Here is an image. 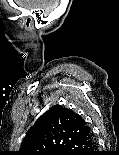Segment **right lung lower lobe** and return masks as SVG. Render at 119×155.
I'll use <instances>...</instances> for the list:
<instances>
[{
	"label": "right lung lower lobe",
	"mask_w": 119,
	"mask_h": 155,
	"mask_svg": "<svg viewBox=\"0 0 119 155\" xmlns=\"http://www.w3.org/2000/svg\"><path fill=\"white\" fill-rule=\"evenodd\" d=\"M96 141L88 129L82 136L66 146L60 155H96Z\"/></svg>",
	"instance_id": "98d812e1"
}]
</instances>
